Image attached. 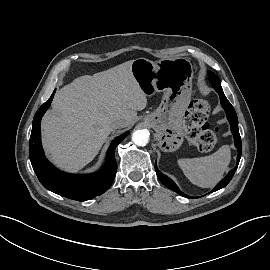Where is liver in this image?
Segmentation results:
<instances>
[{"instance_id":"liver-1","label":"liver","mask_w":270,"mask_h":270,"mask_svg":"<svg viewBox=\"0 0 270 270\" xmlns=\"http://www.w3.org/2000/svg\"><path fill=\"white\" fill-rule=\"evenodd\" d=\"M133 60L84 75L56 92L52 110L42 119L43 145L53 162L78 171L98 154L112 122L134 123L147 105L146 94L132 75Z\"/></svg>"}]
</instances>
